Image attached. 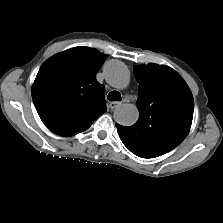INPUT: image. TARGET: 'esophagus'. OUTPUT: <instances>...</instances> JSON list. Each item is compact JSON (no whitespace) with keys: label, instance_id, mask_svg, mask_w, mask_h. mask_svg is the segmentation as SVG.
<instances>
[{"label":"esophagus","instance_id":"esophagus-1","mask_svg":"<svg viewBox=\"0 0 223 223\" xmlns=\"http://www.w3.org/2000/svg\"><path fill=\"white\" fill-rule=\"evenodd\" d=\"M121 103L120 102H111L109 104V107L111 110H114L115 108H117Z\"/></svg>","mask_w":223,"mask_h":223}]
</instances>
